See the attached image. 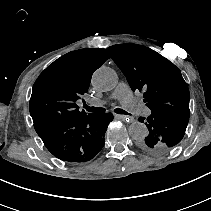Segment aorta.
<instances>
[{
    "label": "aorta",
    "instance_id": "1",
    "mask_svg": "<svg viewBox=\"0 0 211 211\" xmlns=\"http://www.w3.org/2000/svg\"><path fill=\"white\" fill-rule=\"evenodd\" d=\"M118 82L116 72L109 67L97 69L92 77V85L105 91L112 90ZM129 134L133 139H144L148 135V129L144 123L133 121L129 126Z\"/></svg>",
    "mask_w": 211,
    "mask_h": 211
}]
</instances>
